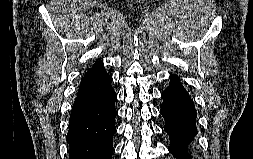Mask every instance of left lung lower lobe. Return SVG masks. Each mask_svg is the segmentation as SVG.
Returning <instances> with one entry per match:
<instances>
[{
	"mask_svg": "<svg viewBox=\"0 0 253 159\" xmlns=\"http://www.w3.org/2000/svg\"><path fill=\"white\" fill-rule=\"evenodd\" d=\"M170 79L169 86L161 94L160 110L165 119L164 131L171 140L169 151L176 159H192L188 145L197 134L196 110L178 77L174 75Z\"/></svg>",
	"mask_w": 253,
	"mask_h": 159,
	"instance_id": "1",
	"label": "left lung lower lobe"
}]
</instances>
